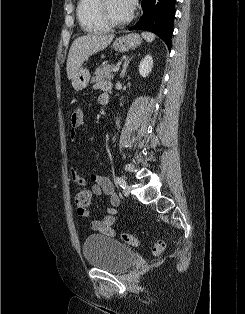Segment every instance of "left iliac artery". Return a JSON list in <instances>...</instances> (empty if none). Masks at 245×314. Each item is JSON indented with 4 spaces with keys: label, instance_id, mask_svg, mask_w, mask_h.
Here are the masks:
<instances>
[{
    "label": "left iliac artery",
    "instance_id": "left-iliac-artery-1",
    "mask_svg": "<svg viewBox=\"0 0 245 314\" xmlns=\"http://www.w3.org/2000/svg\"><path fill=\"white\" fill-rule=\"evenodd\" d=\"M115 181L120 187H122L123 189L125 188L126 181L122 177H116Z\"/></svg>",
    "mask_w": 245,
    "mask_h": 314
}]
</instances>
